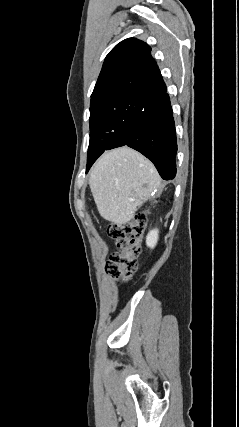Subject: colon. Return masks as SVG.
<instances>
[{"instance_id": "obj_1", "label": "colon", "mask_w": 239, "mask_h": 427, "mask_svg": "<svg viewBox=\"0 0 239 427\" xmlns=\"http://www.w3.org/2000/svg\"><path fill=\"white\" fill-rule=\"evenodd\" d=\"M147 222L144 213L137 214L125 223H114L108 226L107 234L114 240L117 252L105 264L108 275L128 281L132 278L140 253V237Z\"/></svg>"}]
</instances>
